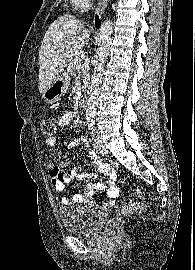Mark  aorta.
Listing matches in <instances>:
<instances>
[{
	"label": "aorta",
	"mask_w": 195,
	"mask_h": 270,
	"mask_svg": "<svg viewBox=\"0 0 195 270\" xmlns=\"http://www.w3.org/2000/svg\"><path fill=\"white\" fill-rule=\"evenodd\" d=\"M112 22L111 20H105L99 29V48L97 52L96 63L94 72L91 77V85L89 88V95L86 105L87 117L93 118L96 113V105L98 104L99 87L103 76L104 62L109 53V47L112 41Z\"/></svg>",
	"instance_id": "aorta-1"
}]
</instances>
